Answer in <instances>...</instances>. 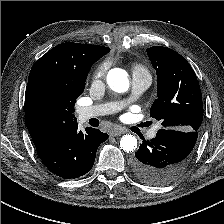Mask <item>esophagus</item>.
Wrapping results in <instances>:
<instances>
[{
  "instance_id": "esophagus-1",
  "label": "esophagus",
  "mask_w": 224,
  "mask_h": 224,
  "mask_svg": "<svg viewBox=\"0 0 224 224\" xmlns=\"http://www.w3.org/2000/svg\"><path fill=\"white\" fill-rule=\"evenodd\" d=\"M124 133H125L124 130L114 129V130L111 131L110 135L113 136V137H117V136H120V135H122Z\"/></svg>"
}]
</instances>
